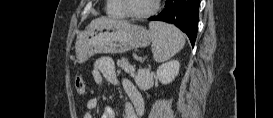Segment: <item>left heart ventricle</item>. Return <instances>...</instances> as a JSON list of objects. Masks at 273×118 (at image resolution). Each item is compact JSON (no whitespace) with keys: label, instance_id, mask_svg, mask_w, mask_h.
<instances>
[{"label":"left heart ventricle","instance_id":"b2bd125f","mask_svg":"<svg viewBox=\"0 0 273 118\" xmlns=\"http://www.w3.org/2000/svg\"><path fill=\"white\" fill-rule=\"evenodd\" d=\"M154 0H128V9L133 12H144L152 7Z\"/></svg>","mask_w":273,"mask_h":118}]
</instances>
